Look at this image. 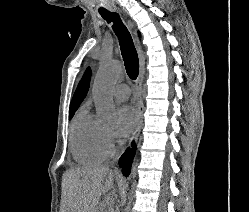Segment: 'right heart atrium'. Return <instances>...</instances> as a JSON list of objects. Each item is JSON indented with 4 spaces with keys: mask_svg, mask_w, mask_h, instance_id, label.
Listing matches in <instances>:
<instances>
[{
    "mask_svg": "<svg viewBox=\"0 0 249 212\" xmlns=\"http://www.w3.org/2000/svg\"><path fill=\"white\" fill-rule=\"evenodd\" d=\"M100 142L105 158H110L115 151V146L111 134L108 131L103 130L100 134Z\"/></svg>",
    "mask_w": 249,
    "mask_h": 212,
    "instance_id": "1",
    "label": "right heart atrium"
}]
</instances>
